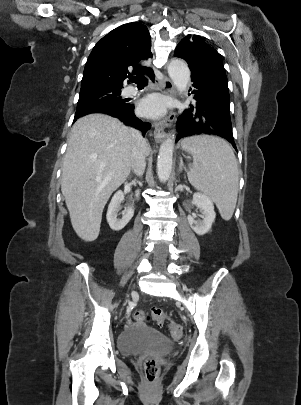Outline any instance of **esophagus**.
I'll list each match as a JSON object with an SVG mask.
<instances>
[{
    "mask_svg": "<svg viewBox=\"0 0 301 405\" xmlns=\"http://www.w3.org/2000/svg\"><path fill=\"white\" fill-rule=\"evenodd\" d=\"M158 87L160 90H163L169 95H173L175 93L174 85L167 76H164L163 79L159 81ZM175 117V112H171L166 120L155 124L154 138L157 142H161L166 137V129L175 120Z\"/></svg>",
    "mask_w": 301,
    "mask_h": 405,
    "instance_id": "34e87169",
    "label": "esophagus"
}]
</instances>
